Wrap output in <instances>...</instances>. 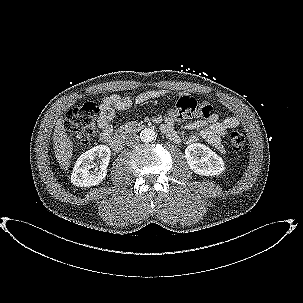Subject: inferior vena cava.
Masks as SVG:
<instances>
[{"mask_svg":"<svg viewBox=\"0 0 303 303\" xmlns=\"http://www.w3.org/2000/svg\"><path fill=\"white\" fill-rule=\"evenodd\" d=\"M139 140V135L134 132H131L126 135V145L128 146H134L138 144Z\"/></svg>","mask_w":303,"mask_h":303,"instance_id":"inferior-vena-cava-1","label":"inferior vena cava"}]
</instances>
